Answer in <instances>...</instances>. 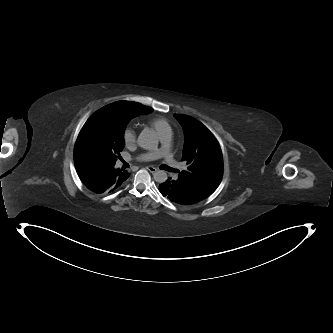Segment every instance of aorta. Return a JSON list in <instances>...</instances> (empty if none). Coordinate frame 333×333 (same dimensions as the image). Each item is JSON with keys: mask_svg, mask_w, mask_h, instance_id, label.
Here are the masks:
<instances>
[{"mask_svg": "<svg viewBox=\"0 0 333 333\" xmlns=\"http://www.w3.org/2000/svg\"><path fill=\"white\" fill-rule=\"evenodd\" d=\"M138 144L146 150H153L158 146L157 135L151 130H144L138 137ZM168 178L166 171L159 170L154 173V180L158 183H163Z\"/></svg>", "mask_w": 333, "mask_h": 333, "instance_id": "762f6f07", "label": "aorta"}]
</instances>
